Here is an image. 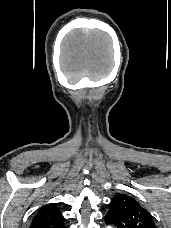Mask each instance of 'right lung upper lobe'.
Here are the masks:
<instances>
[{"instance_id": "obj_1", "label": "right lung upper lobe", "mask_w": 171, "mask_h": 228, "mask_svg": "<svg viewBox=\"0 0 171 228\" xmlns=\"http://www.w3.org/2000/svg\"><path fill=\"white\" fill-rule=\"evenodd\" d=\"M63 216L54 204L43 206L32 220L30 228H64Z\"/></svg>"}]
</instances>
